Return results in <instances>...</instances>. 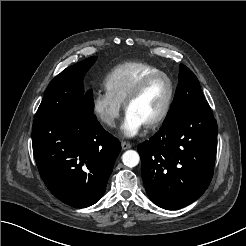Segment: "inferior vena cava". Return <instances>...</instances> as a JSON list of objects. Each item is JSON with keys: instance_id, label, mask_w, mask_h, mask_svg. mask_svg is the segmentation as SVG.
I'll return each mask as SVG.
<instances>
[{"instance_id": "inferior-vena-cava-1", "label": "inferior vena cava", "mask_w": 246, "mask_h": 246, "mask_svg": "<svg viewBox=\"0 0 246 246\" xmlns=\"http://www.w3.org/2000/svg\"><path fill=\"white\" fill-rule=\"evenodd\" d=\"M108 124H110V125H111V124H112V120H110V119H109V120H108Z\"/></svg>"}]
</instances>
